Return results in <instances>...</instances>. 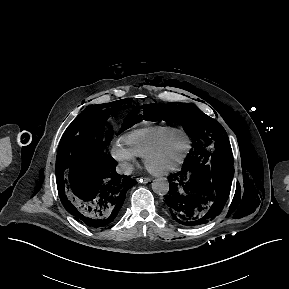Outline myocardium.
<instances>
[{
	"instance_id": "myocardium-1",
	"label": "myocardium",
	"mask_w": 289,
	"mask_h": 289,
	"mask_svg": "<svg viewBox=\"0 0 289 289\" xmlns=\"http://www.w3.org/2000/svg\"><path fill=\"white\" fill-rule=\"evenodd\" d=\"M176 137H183L185 139L186 145H185V149H184V152L182 153V155L175 162H173L172 164H170L166 167L155 168L152 165L153 158L155 156H157L165 148V146ZM190 150H191L190 138L188 137V135L186 133L179 130V131H176L175 133H173L171 136L164 139L161 143H159L158 145H156L152 149H150L143 157L144 158V160H143L144 165L147 168V170L155 176H160V175L172 173V172L179 170L184 165V163L186 162V160L189 156Z\"/></svg>"
}]
</instances>
